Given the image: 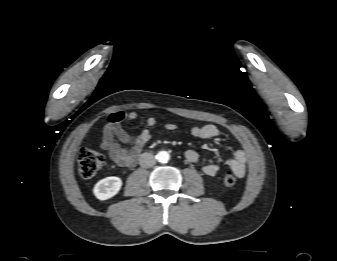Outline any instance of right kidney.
Returning <instances> with one entry per match:
<instances>
[{
	"mask_svg": "<svg viewBox=\"0 0 337 261\" xmlns=\"http://www.w3.org/2000/svg\"><path fill=\"white\" fill-rule=\"evenodd\" d=\"M122 186V180L119 177H106L94 186L93 193L99 200H107L115 196Z\"/></svg>",
	"mask_w": 337,
	"mask_h": 261,
	"instance_id": "right-kidney-1",
	"label": "right kidney"
}]
</instances>
